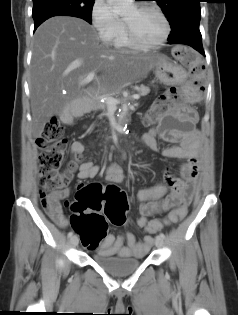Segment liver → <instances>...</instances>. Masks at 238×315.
<instances>
[{
    "mask_svg": "<svg viewBox=\"0 0 238 315\" xmlns=\"http://www.w3.org/2000/svg\"><path fill=\"white\" fill-rule=\"evenodd\" d=\"M160 54H121L100 44L94 28L80 18L56 16L34 36L30 74L32 135L39 138L53 116L68 122L90 107L86 94H109L144 78ZM95 73L92 85L82 80ZM65 92V93H64Z\"/></svg>",
    "mask_w": 238,
    "mask_h": 315,
    "instance_id": "6515ba94",
    "label": "liver"
}]
</instances>
